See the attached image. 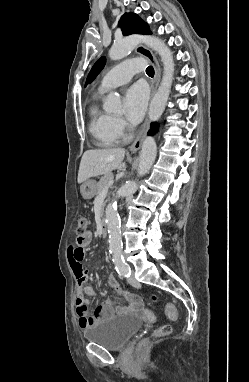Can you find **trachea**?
Listing matches in <instances>:
<instances>
[{
    "mask_svg": "<svg viewBox=\"0 0 249 382\" xmlns=\"http://www.w3.org/2000/svg\"><path fill=\"white\" fill-rule=\"evenodd\" d=\"M146 73L149 76H154V69H153V67L152 66L147 67Z\"/></svg>",
    "mask_w": 249,
    "mask_h": 382,
    "instance_id": "obj_1",
    "label": "trachea"
}]
</instances>
